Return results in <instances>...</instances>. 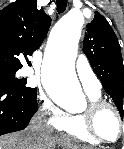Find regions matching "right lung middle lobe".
<instances>
[{
    "instance_id": "obj_1",
    "label": "right lung middle lobe",
    "mask_w": 124,
    "mask_h": 149,
    "mask_svg": "<svg viewBox=\"0 0 124 149\" xmlns=\"http://www.w3.org/2000/svg\"><path fill=\"white\" fill-rule=\"evenodd\" d=\"M17 70L18 69L16 68L0 67V79L6 80L12 85L28 92L36 91V88L26 87L27 82L24 80V78L18 79L15 77Z\"/></svg>"
}]
</instances>
